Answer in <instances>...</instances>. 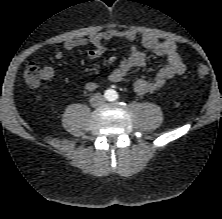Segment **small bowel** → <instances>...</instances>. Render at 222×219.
Returning a JSON list of instances; mask_svg holds the SVG:
<instances>
[{
    "instance_id": "obj_1",
    "label": "small bowel",
    "mask_w": 222,
    "mask_h": 219,
    "mask_svg": "<svg viewBox=\"0 0 222 219\" xmlns=\"http://www.w3.org/2000/svg\"><path fill=\"white\" fill-rule=\"evenodd\" d=\"M137 38V32L131 29H107L93 33L88 37L68 40L65 43L64 48L71 51L78 47L91 46L92 49L88 52V58L95 60L101 57L105 52V42L114 39L127 41L131 44L130 54L124 58L120 65L108 76L109 81L118 83L122 81L132 69L141 67L146 62L145 53L140 51L135 45ZM141 43L155 55L165 58L166 64L159 69L152 80L137 79L135 81L134 90L137 94L143 95L157 91L163 88L168 80L185 72L186 65L178 51L177 45L173 41H161L155 35L146 33L141 36ZM55 57L58 60L62 59L63 52L58 51L55 54ZM44 72V80H50L53 78V68L45 67ZM83 86L88 91H94L98 85L92 80L85 79Z\"/></svg>"
}]
</instances>
